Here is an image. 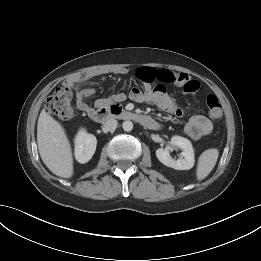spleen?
Here are the masks:
<instances>
[{
    "label": "spleen",
    "instance_id": "obj_1",
    "mask_svg": "<svg viewBox=\"0 0 261 261\" xmlns=\"http://www.w3.org/2000/svg\"><path fill=\"white\" fill-rule=\"evenodd\" d=\"M219 156L218 149H207L200 155L198 159L196 178L198 181L206 178L213 170Z\"/></svg>",
    "mask_w": 261,
    "mask_h": 261
}]
</instances>
